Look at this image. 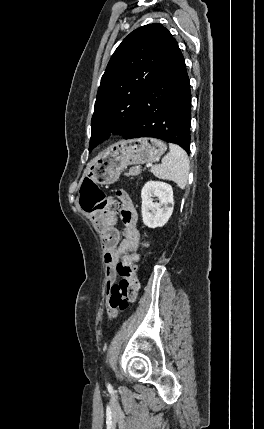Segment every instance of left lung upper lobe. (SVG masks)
<instances>
[{"label": "left lung upper lobe", "mask_w": 264, "mask_h": 429, "mask_svg": "<svg viewBox=\"0 0 264 429\" xmlns=\"http://www.w3.org/2000/svg\"><path fill=\"white\" fill-rule=\"evenodd\" d=\"M171 39L172 35L161 24H148L131 32L115 50L97 93L90 150L111 132L123 137L129 134Z\"/></svg>", "instance_id": "left-lung-upper-lobe-1"}]
</instances>
